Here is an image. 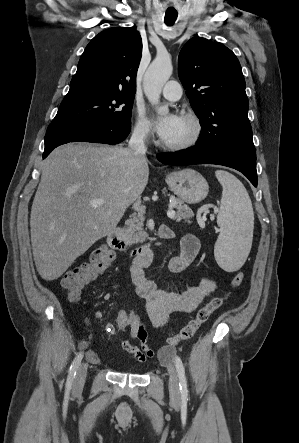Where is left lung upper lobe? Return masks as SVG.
I'll return each mask as SVG.
<instances>
[{"instance_id": "left-lung-upper-lobe-1", "label": "left lung upper lobe", "mask_w": 299, "mask_h": 443, "mask_svg": "<svg viewBox=\"0 0 299 443\" xmlns=\"http://www.w3.org/2000/svg\"><path fill=\"white\" fill-rule=\"evenodd\" d=\"M179 78L200 119L198 147L254 148L245 79L235 54L224 45L194 37L178 58Z\"/></svg>"}]
</instances>
